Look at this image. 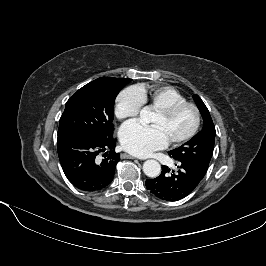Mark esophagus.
<instances>
[{"label":"esophagus","instance_id":"obj_1","mask_svg":"<svg viewBox=\"0 0 266 266\" xmlns=\"http://www.w3.org/2000/svg\"><path fill=\"white\" fill-rule=\"evenodd\" d=\"M124 158H128V159H136V157L129 155V154H123L122 155Z\"/></svg>","mask_w":266,"mask_h":266}]
</instances>
